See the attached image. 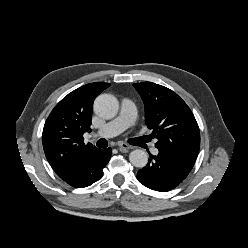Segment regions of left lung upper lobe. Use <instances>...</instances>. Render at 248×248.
<instances>
[{"instance_id":"left-lung-upper-lobe-1","label":"left lung upper lobe","mask_w":248,"mask_h":248,"mask_svg":"<svg viewBox=\"0 0 248 248\" xmlns=\"http://www.w3.org/2000/svg\"><path fill=\"white\" fill-rule=\"evenodd\" d=\"M145 106V122L158 139L160 151L196 160L200 131L187 104L172 90L152 83L133 84Z\"/></svg>"}]
</instances>
